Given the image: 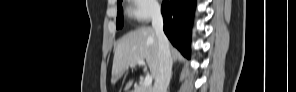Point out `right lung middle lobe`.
I'll list each match as a JSON object with an SVG mask.
<instances>
[{"label": "right lung middle lobe", "instance_id": "right-lung-middle-lobe-1", "mask_svg": "<svg viewBox=\"0 0 296 92\" xmlns=\"http://www.w3.org/2000/svg\"><path fill=\"white\" fill-rule=\"evenodd\" d=\"M122 0L118 1V14H117V20H116V28H122L123 27V10L121 8Z\"/></svg>", "mask_w": 296, "mask_h": 92}]
</instances>
